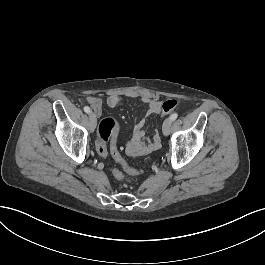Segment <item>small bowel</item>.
Listing matches in <instances>:
<instances>
[{"label": "small bowel", "mask_w": 265, "mask_h": 265, "mask_svg": "<svg viewBox=\"0 0 265 265\" xmlns=\"http://www.w3.org/2000/svg\"><path fill=\"white\" fill-rule=\"evenodd\" d=\"M129 97H137L136 94H130ZM86 100V97H83ZM123 98L118 92L111 93L106 100L109 107H117L121 104ZM140 100L146 105V110L135 125L137 134L133 136L129 144L127 145V153L131 156H144L152 153L160 147V137L155 134L152 140H147L142 132L145 121L148 117L159 114L161 112V101L151 97L149 94H143L140 96ZM89 102L96 109V113H99L101 107V100L96 97H90Z\"/></svg>", "instance_id": "small-bowel-1"}]
</instances>
